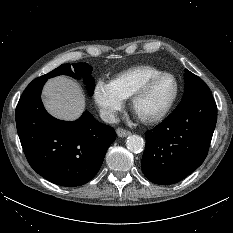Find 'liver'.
Instances as JSON below:
<instances>
[{
    "label": "liver",
    "mask_w": 233,
    "mask_h": 233,
    "mask_svg": "<svg viewBox=\"0 0 233 233\" xmlns=\"http://www.w3.org/2000/svg\"><path fill=\"white\" fill-rule=\"evenodd\" d=\"M45 108L54 117L72 121L78 119L85 107L80 86L73 80L59 76L47 81L44 88Z\"/></svg>",
    "instance_id": "1"
}]
</instances>
